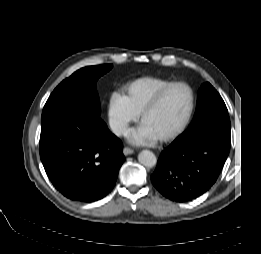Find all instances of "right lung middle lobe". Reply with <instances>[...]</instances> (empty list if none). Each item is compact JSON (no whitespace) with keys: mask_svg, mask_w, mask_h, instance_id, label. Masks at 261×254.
I'll list each match as a JSON object with an SVG mask.
<instances>
[{"mask_svg":"<svg viewBox=\"0 0 261 254\" xmlns=\"http://www.w3.org/2000/svg\"><path fill=\"white\" fill-rule=\"evenodd\" d=\"M111 68L112 64H107L85 67L76 71L55 88L45 106L75 104L99 116L101 110L96 82Z\"/></svg>","mask_w":261,"mask_h":254,"instance_id":"obj_1","label":"right lung middle lobe"}]
</instances>
